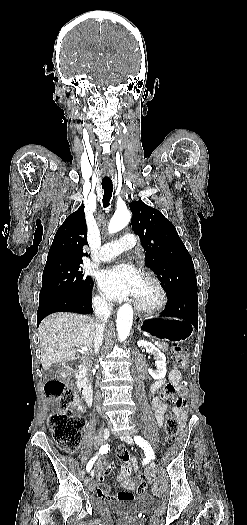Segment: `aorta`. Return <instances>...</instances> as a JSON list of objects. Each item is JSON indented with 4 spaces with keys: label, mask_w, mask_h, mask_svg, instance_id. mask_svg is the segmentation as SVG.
I'll use <instances>...</instances> for the list:
<instances>
[{
    "label": "aorta",
    "mask_w": 247,
    "mask_h": 525,
    "mask_svg": "<svg viewBox=\"0 0 247 525\" xmlns=\"http://www.w3.org/2000/svg\"><path fill=\"white\" fill-rule=\"evenodd\" d=\"M131 214L127 209L115 212L114 216L109 222L108 231L110 234L122 230L130 221ZM133 322V308L129 304L122 305L117 313L116 327L118 338L125 340L131 330Z\"/></svg>",
    "instance_id": "762f6f07"
}]
</instances>
